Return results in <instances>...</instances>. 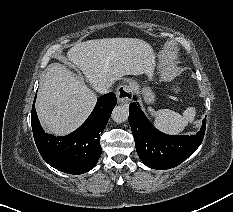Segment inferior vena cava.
Returning <instances> with one entry per match:
<instances>
[{
	"instance_id": "602c4592",
	"label": "inferior vena cava",
	"mask_w": 233,
	"mask_h": 212,
	"mask_svg": "<svg viewBox=\"0 0 233 212\" xmlns=\"http://www.w3.org/2000/svg\"><path fill=\"white\" fill-rule=\"evenodd\" d=\"M112 86V82L110 81H103L101 83H99L97 86H95V90L96 92L100 93V94H106L108 92H110V88Z\"/></svg>"
}]
</instances>
